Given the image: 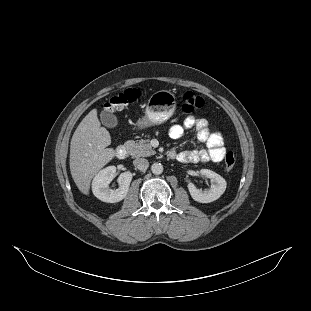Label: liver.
Returning <instances> with one entry per match:
<instances>
[{
	"instance_id": "1",
	"label": "liver",
	"mask_w": 311,
	"mask_h": 311,
	"mask_svg": "<svg viewBox=\"0 0 311 311\" xmlns=\"http://www.w3.org/2000/svg\"><path fill=\"white\" fill-rule=\"evenodd\" d=\"M111 144L109 131L102 127L97 110L92 109L76 128L70 143V171L78 189L89 194L94 175L109 161L116 151Z\"/></svg>"
}]
</instances>
